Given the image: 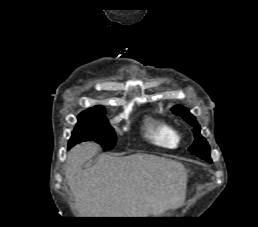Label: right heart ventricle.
I'll return each mask as SVG.
<instances>
[{
	"label": "right heart ventricle",
	"mask_w": 258,
	"mask_h": 227,
	"mask_svg": "<svg viewBox=\"0 0 258 227\" xmlns=\"http://www.w3.org/2000/svg\"><path fill=\"white\" fill-rule=\"evenodd\" d=\"M143 130L145 138L154 145L167 149H173L179 145L180 134L178 130L164 119L146 118Z\"/></svg>",
	"instance_id": "1"
}]
</instances>
